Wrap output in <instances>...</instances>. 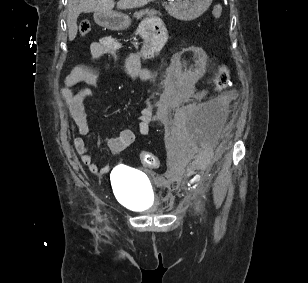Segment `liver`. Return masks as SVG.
<instances>
[{"instance_id":"obj_1","label":"liver","mask_w":308,"mask_h":283,"mask_svg":"<svg viewBox=\"0 0 308 283\" xmlns=\"http://www.w3.org/2000/svg\"><path fill=\"white\" fill-rule=\"evenodd\" d=\"M154 0H119L118 9H133L147 5ZM114 0H69L67 28L69 41H73L77 35V18L84 13L106 12L111 13L114 8Z\"/></svg>"}]
</instances>
